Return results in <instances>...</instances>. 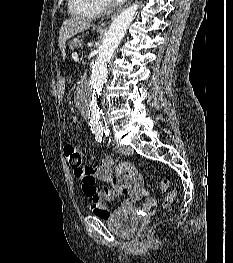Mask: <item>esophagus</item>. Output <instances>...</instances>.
I'll return each mask as SVG.
<instances>
[{"label": "esophagus", "mask_w": 233, "mask_h": 263, "mask_svg": "<svg viewBox=\"0 0 233 263\" xmlns=\"http://www.w3.org/2000/svg\"><path fill=\"white\" fill-rule=\"evenodd\" d=\"M132 2V0H128V2L126 3V5L124 7H122L121 9L117 10L116 12H114L113 14L107 16L106 18H103L100 22H98L97 27L98 28H104L111 20H113L123 9H125L130 3Z\"/></svg>", "instance_id": "1"}]
</instances>
